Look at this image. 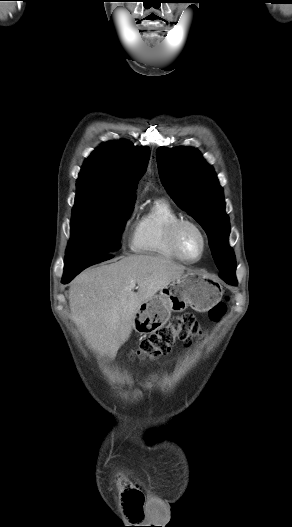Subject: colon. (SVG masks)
Here are the masks:
<instances>
[{
    "label": "colon",
    "mask_w": 292,
    "mask_h": 527,
    "mask_svg": "<svg viewBox=\"0 0 292 527\" xmlns=\"http://www.w3.org/2000/svg\"><path fill=\"white\" fill-rule=\"evenodd\" d=\"M225 312L226 304L221 302L209 311V317L213 321H218ZM201 334V326L193 314L185 313L174 316L168 324L142 340L139 347L133 351V355L157 359L167 354L177 342H182L188 346ZM123 503L131 513H134V511L136 513L141 512L143 498L141 492L133 484L126 485Z\"/></svg>",
    "instance_id": "colon-1"
}]
</instances>
